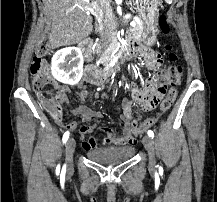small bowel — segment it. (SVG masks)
<instances>
[{
	"mask_svg": "<svg viewBox=\"0 0 217 202\" xmlns=\"http://www.w3.org/2000/svg\"><path fill=\"white\" fill-rule=\"evenodd\" d=\"M138 54L144 59L146 66L149 69H156L160 66L162 63V60L160 58V55L155 52L154 50L146 47H141L138 45ZM152 78L149 80V82L146 84L147 88H151L153 86ZM76 92L78 93L81 101H85V99L88 97L89 93L86 90L85 86L83 84H78L76 87ZM66 90L67 87L64 85L59 86V92L58 95H64V100H59L60 103H64L67 101L66 97ZM135 95L136 92L134 93ZM160 95V94H157ZM95 97H98L99 94L96 93L94 95ZM102 97H106V93L101 94ZM136 102L139 101L137 99V96L135 99H125L121 103V115L120 118L122 122L124 123L123 131L120 134H117L109 127H99V132H105L106 137L104 139V144H106V147H111V145L116 146H132L136 144L138 135L142 134L144 131H134V126H147L145 122H142L141 124H138L137 120L133 119V106L136 104ZM140 105V104H139ZM141 106V105H140ZM142 107V106H141ZM143 109H147L145 107H142ZM73 114L80 116L83 121L90 122V121H96L102 118L103 113L97 110H94L93 108L87 106V105H80L73 109ZM54 121H57V123L60 126H64L63 123V113L62 116H54ZM68 128H76L77 123L72 122L67 125ZM87 128L89 131H80V136H85V141H93L94 137L91 136V131L89 127H83ZM81 147H98V142H81Z\"/></svg>",
	"mask_w": 217,
	"mask_h": 202,
	"instance_id": "c3829d8e",
	"label": "small bowel"
}]
</instances>
